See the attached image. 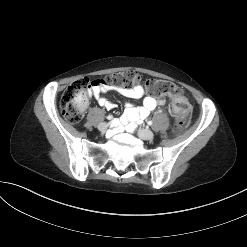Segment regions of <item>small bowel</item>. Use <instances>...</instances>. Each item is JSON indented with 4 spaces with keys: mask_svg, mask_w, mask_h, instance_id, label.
I'll return each mask as SVG.
<instances>
[{
    "mask_svg": "<svg viewBox=\"0 0 247 247\" xmlns=\"http://www.w3.org/2000/svg\"><path fill=\"white\" fill-rule=\"evenodd\" d=\"M113 89L122 96L129 99H139L143 97V104L141 106H135L132 103H126L125 111L120 121L122 124L127 125L128 131H132L136 123L146 119L149 114L158 106L165 104L164 99H158L151 95L145 96L144 88L139 83L130 87L112 88L95 80V83L91 86L89 93L97 100L100 106L110 110L113 109L115 105L114 103L105 99L102 94Z\"/></svg>",
    "mask_w": 247,
    "mask_h": 247,
    "instance_id": "1",
    "label": "small bowel"
}]
</instances>
